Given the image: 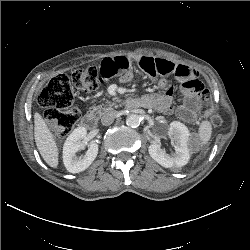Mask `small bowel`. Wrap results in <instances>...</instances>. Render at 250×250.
Listing matches in <instances>:
<instances>
[{
	"instance_id": "c3829d8e",
	"label": "small bowel",
	"mask_w": 250,
	"mask_h": 250,
	"mask_svg": "<svg viewBox=\"0 0 250 250\" xmlns=\"http://www.w3.org/2000/svg\"><path fill=\"white\" fill-rule=\"evenodd\" d=\"M137 63L152 78L160 79L161 88L159 94L136 99L139 106L152 107L167 113L172 112L174 109L173 87L167 83L166 77L173 76L181 83V90L185 95L183 104L177 109V115L184 122H194L199 105V94L203 89V84L198 78V72L183 64L146 56L140 57ZM130 66L128 57L115 56L105 58L99 69L104 80L118 76L121 82H129L132 79Z\"/></svg>"
}]
</instances>
